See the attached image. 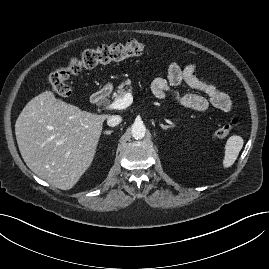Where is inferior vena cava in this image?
Wrapping results in <instances>:
<instances>
[{
	"mask_svg": "<svg viewBox=\"0 0 269 269\" xmlns=\"http://www.w3.org/2000/svg\"><path fill=\"white\" fill-rule=\"evenodd\" d=\"M122 121V117L119 116V115H112V116H109L108 119H107V124L108 126L110 127H115L117 125H119Z\"/></svg>",
	"mask_w": 269,
	"mask_h": 269,
	"instance_id": "602c4592",
	"label": "inferior vena cava"
}]
</instances>
